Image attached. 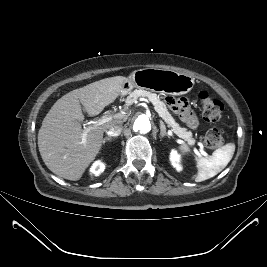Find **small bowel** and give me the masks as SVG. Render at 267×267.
<instances>
[{
    "instance_id": "small-bowel-1",
    "label": "small bowel",
    "mask_w": 267,
    "mask_h": 267,
    "mask_svg": "<svg viewBox=\"0 0 267 267\" xmlns=\"http://www.w3.org/2000/svg\"><path fill=\"white\" fill-rule=\"evenodd\" d=\"M166 103L175 112L183 116L188 125L192 128H196L198 121L196 117L190 113L188 103L184 99L175 98L173 96H167Z\"/></svg>"
}]
</instances>
